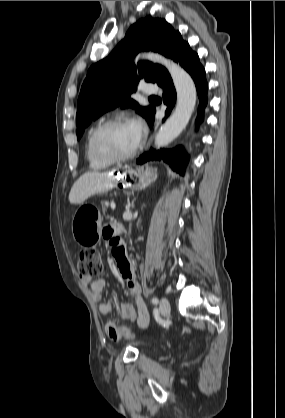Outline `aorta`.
Wrapping results in <instances>:
<instances>
[{
	"label": "aorta",
	"instance_id": "762f6f07",
	"mask_svg": "<svg viewBox=\"0 0 285 418\" xmlns=\"http://www.w3.org/2000/svg\"><path fill=\"white\" fill-rule=\"evenodd\" d=\"M142 57L161 63L168 69L177 93L175 110L155 137V146L160 148L172 142L187 126L196 104L197 92L190 75L172 60L155 53H147Z\"/></svg>",
	"mask_w": 285,
	"mask_h": 418
}]
</instances>
